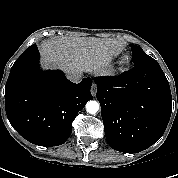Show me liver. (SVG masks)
I'll return each instance as SVG.
<instances>
[{
  "label": "liver",
  "mask_w": 178,
  "mask_h": 178,
  "mask_svg": "<svg viewBox=\"0 0 178 178\" xmlns=\"http://www.w3.org/2000/svg\"><path fill=\"white\" fill-rule=\"evenodd\" d=\"M121 48L115 40L93 37H63L40 45L45 67L59 68L65 73L93 72L106 67Z\"/></svg>",
  "instance_id": "1"
}]
</instances>
